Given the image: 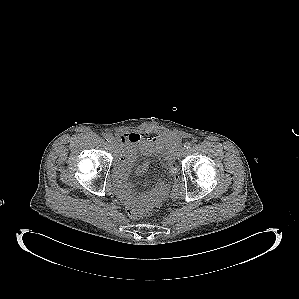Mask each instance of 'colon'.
I'll use <instances>...</instances> for the list:
<instances>
[{"mask_svg": "<svg viewBox=\"0 0 299 299\" xmlns=\"http://www.w3.org/2000/svg\"><path fill=\"white\" fill-rule=\"evenodd\" d=\"M169 170H170L171 174L174 175V177H175V184L171 190L170 195L173 199H176L181 194V185H180L179 177H178V166L176 165V163L171 164ZM126 211H127V214L132 218H141V217L147 216L149 214L148 210H146L142 206L136 205V204L128 205L126 208Z\"/></svg>", "mask_w": 299, "mask_h": 299, "instance_id": "1", "label": "colon"}]
</instances>
